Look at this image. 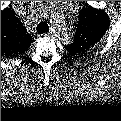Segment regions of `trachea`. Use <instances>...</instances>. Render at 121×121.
<instances>
[{
  "instance_id": "obj_1",
  "label": "trachea",
  "mask_w": 121,
  "mask_h": 121,
  "mask_svg": "<svg viewBox=\"0 0 121 121\" xmlns=\"http://www.w3.org/2000/svg\"><path fill=\"white\" fill-rule=\"evenodd\" d=\"M49 31V26L45 22H40L37 26L38 33H47Z\"/></svg>"
}]
</instances>
